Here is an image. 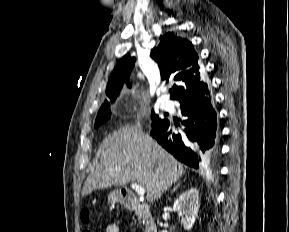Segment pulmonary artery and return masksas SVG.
<instances>
[{"instance_id":"pulmonary-artery-1","label":"pulmonary artery","mask_w":289,"mask_h":232,"mask_svg":"<svg viewBox=\"0 0 289 232\" xmlns=\"http://www.w3.org/2000/svg\"><path fill=\"white\" fill-rule=\"evenodd\" d=\"M162 108L168 112L174 111V103L171 100H165L162 103Z\"/></svg>"}]
</instances>
